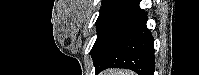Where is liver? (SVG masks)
<instances>
[{
	"label": "liver",
	"mask_w": 199,
	"mask_h": 75,
	"mask_svg": "<svg viewBox=\"0 0 199 75\" xmlns=\"http://www.w3.org/2000/svg\"><path fill=\"white\" fill-rule=\"evenodd\" d=\"M101 75H135V73L129 70L110 69L102 72Z\"/></svg>",
	"instance_id": "6515ba94"
}]
</instances>
